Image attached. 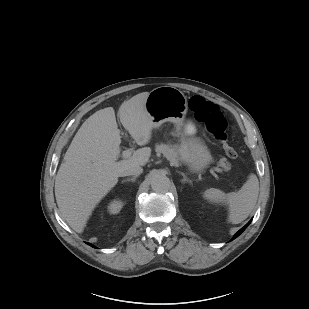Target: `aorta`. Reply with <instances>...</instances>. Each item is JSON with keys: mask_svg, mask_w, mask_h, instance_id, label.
Here are the masks:
<instances>
[{"mask_svg": "<svg viewBox=\"0 0 309 309\" xmlns=\"http://www.w3.org/2000/svg\"><path fill=\"white\" fill-rule=\"evenodd\" d=\"M151 188L157 193H165L170 188V180L165 175L157 174L151 180Z\"/></svg>", "mask_w": 309, "mask_h": 309, "instance_id": "aorta-1", "label": "aorta"}]
</instances>
